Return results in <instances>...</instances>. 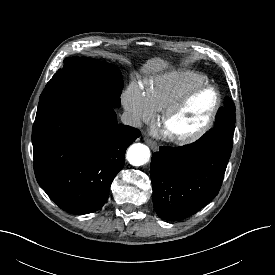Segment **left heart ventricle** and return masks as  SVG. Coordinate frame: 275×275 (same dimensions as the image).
I'll list each match as a JSON object with an SVG mask.
<instances>
[{"label": "left heart ventricle", "mask_w": 275, "mask_h": 275, "mask_svg": "<svg viewBox=\"0 0 275 275\" xmlns=\"http://www.w3.org/2000/svg\"><path fill=\"white\" fill-rule=\"evenodd\" d=\"M216 102L215 92L202 91L196 94L166 126L170 135H184L199 128L208 118Z\"/></svg>", "instance_id": "b2bd125f"}]
</instances>
